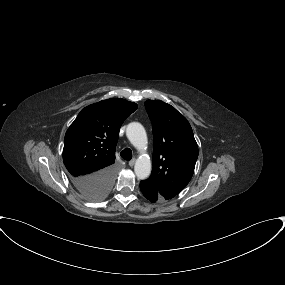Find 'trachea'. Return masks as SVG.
Returning <instances> with one entry per match:
<instances>
[{
    "label": "trachea",
    "instance_id": "3493384b",
    "mask_svg": "<svg viewBox=\"0 0 285 285\" xmlns=\"http://www.w3.org/2000/svg\"><path fill=\"white\" fill-rule=\"evenodd\" d=\"M120 156L124 160H131L132 159V151L129 148H125L124 150L121 151Z\"/></svg>",
    "mask_w": 285,
    "mask_h": 285
}]
</instances>
